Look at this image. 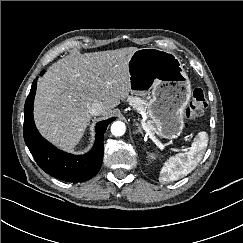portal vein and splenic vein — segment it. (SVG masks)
<instances>
[{"label":"portal vein and splenic vein","mask_w":243,"mask_h":243,"mask_svg":"<svg viewBox=\"0 0 243 243\" xmlns=\"http://www.w3.org/2000/svg\"><path fill=\"white\" fill-rule=\"evenodd\" d=\"M143 129L149 135V137L152 139V141L161 149L163 150L165 146L154 136V134L149 129L148 125L145 122L141 123ZM174 151H186V149H173Z\"/></svg>","instance_id":"18ae733b"}]
</instances>
